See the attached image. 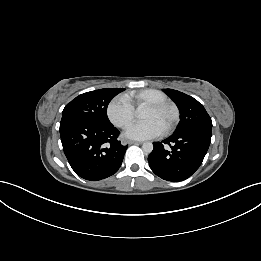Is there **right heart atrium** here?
<instances>
[{"label": "right heart atrium", "instance_id": "1", "mask_svg": "<svg viewBox=\"0 0 261 261\" xmlns=\"http://www.w3.org/2000/svg\"><path fill=\"white\" fill-rule=\"evenodd\" d=\"M106 114L114 126L125 129L133 121L135 110L126 96L120 95L109 102Z\"/></svg>", "mask_w": 261, "mask_h": 261}]
</instances>
